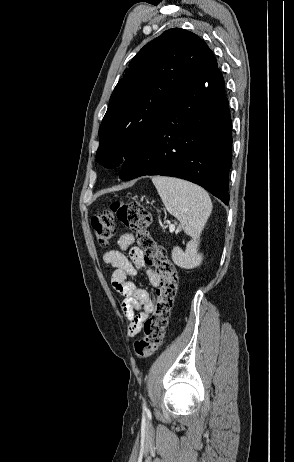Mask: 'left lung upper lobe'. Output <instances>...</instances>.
Masks as SVG:
<instances>
[{
	"mask_svg": "<svg viewBox=\"0 0 294 462\" xmlns=\"http://www.w3.org/2000/svg\"><path fill=\"white\" fill-rule=\"evenodd\" d=\"M216 68L207 44L184 29H169L145 45L111 95L99 128L98 161L110 168L125 161L178 94Z\"/></svg>",
	"mask_w": 294,
	"mask_h": 462,
	"instance_id": "left-lung-upper-lobe-1",
	"label": "left lung upper lobe"
}]
</instances>
